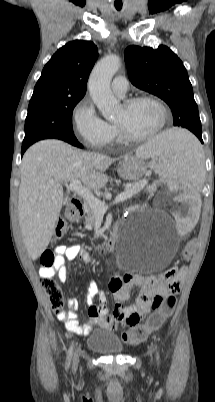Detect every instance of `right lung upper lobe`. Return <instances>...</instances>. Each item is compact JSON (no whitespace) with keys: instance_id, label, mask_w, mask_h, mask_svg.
<instances>
[{"instance_id":"right-lung-upper-lobe-1","label":"right lung upper lobe","mask_w":215,"mask_h":402,"mask_svg":"<svg viewBox=\"0 0 215 402\" xmlns=\"http://www.w3.org/2000/svg\"><path fill=\"white\" fill-rule=\"evenodd\" d=\"M97 58L98 49L91 41L67 43L44 66L32 96L47 94L83 98Z\"/></svg>"}]
</instances>
